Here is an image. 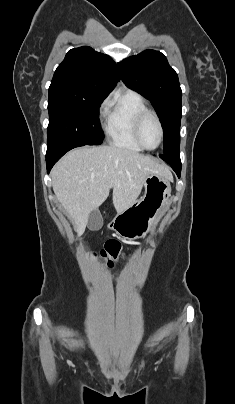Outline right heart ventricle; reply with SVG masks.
Segmentation results:
<instances>
[{
  "mask_svg": "<svg viewBox=\"0 0 235 404\" xmlns=\"http://www.w3.org/2000/svg\"><path fill=\"white\" fill-rule=\"evenodd\" d=\"M148 110L143 98L134 91H126L110 102L105 119V132L110 143L131 151H142L133 134L136 117Z\"/></svg>",
  "mask_w": 235,
  "mask_h": 404,
  "instance_id": "e07e8e85",
  "label": "right heart ventricle"
}]
</instances>
